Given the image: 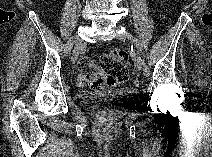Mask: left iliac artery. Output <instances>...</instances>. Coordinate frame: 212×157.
<instances>
[{"mask_svg": "<svg viewBox=\"0 0 212 157\" xmlns=\"http://www.w3.org/2000/svg\"><path fill=\"white\" fill-rule=\"evenodd\" d=\"M133 42H134V45L136 46V48L138 49V52L141 53V55H142V58H143L142 63H143L145 75L149 76L150 75V68L146 63L145 56L143 54L142 44L140 43V41L138 39H134Z\"/></svg>", "mask_w": 212, "mask_h": 157, "instance_id": "obj_1", "label": "left iliac artery"}]
</instances>
